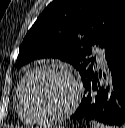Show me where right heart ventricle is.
<instances>
[{"instance_id": "right-heart-ventricle-1", "label": "right heart ventricle", "mask_w": 125, "mask_h": 128, "mask_svg": "<svg viewBox=\"0 0 125 128\" xmlns=\"http://www.w3.org/2000/svg\"><path fill=\"white\" fill-rule=\"evenodd\" d=\"M24 79V78H23ZM22 81L20 82L17 91H16V100H17V113L18 116L20 117V119L25 122L26 124H34L37 121H35L25 110V107L23 105L22 102V91H21V87H22Z\"/></svg>"}]
</instances>
